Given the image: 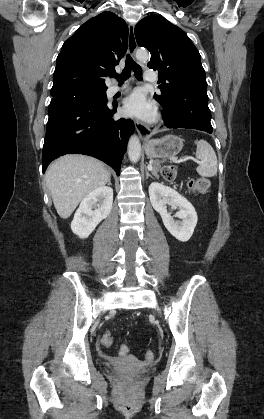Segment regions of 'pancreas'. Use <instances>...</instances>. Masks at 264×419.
I'll use <instances>...</instances> for the list:
<instances>
[{"label": "pancreas", "mask_w": 264, "mask_h": 419, "mask_svg": "<svg viewBox=\"0 0 264 419\" xmlns=\"http://www.w3.org/2000/svg\"><path fill=\"white\" fill-rule=\"evenodd\" d=\"M159 171H161V166H160V162H154V166H153V169H152V173L156 176V177H158L159 175H158V172Z\"/></svg>", "instance_id": "cf45deb5"}]
</instances>
